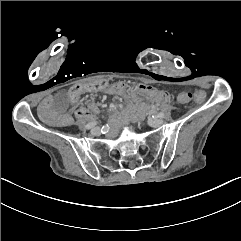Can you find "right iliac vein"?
<instances>
[{
  "label": "right iliac vein",
  "mask_w": 241,
  "mask_h": 241,
  "mask_svg": "<svg viewBox=\"0 0 241 241\" xmlns=\"http://www.w3.org/2000/svg\"><path fill=\"white\" fill-rule=\"evenodd\" d=\"M91 133L93 135H99L100 134V128L99 127H94L92 130H91Z\"/></svg>",
  "instance_id": "1"
}]
</instances>
